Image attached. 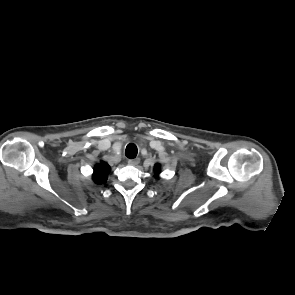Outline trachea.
Masks as SVG:
<instances>
[{"mask_svg":"<svg viewBox=\"0 0 295 295\" xmlns=\"http://www.w3.org/2000/svg\"><path fill=\"white\" fill-rule=\"evenodd\" d=\"M138 150L137 146L134 143H130L127 145L125 150V155L130 158L134 159L137 156Z\"/></svg>","mask_w":295,"mask_h":295,"instance_id":"3493384b","label":"trachea"}]
</instances>
